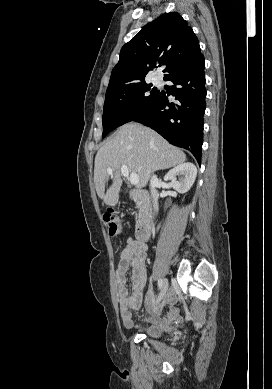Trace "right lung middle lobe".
I'll use <instances>...</instances> for the list:
<instances>
[{"label":"right lung middle lobe","instance_id":"1","mask_svg":"<svg viewBox=\"0 0 272 389\" xmlns=\"http://www.w3.org/2000/svg\"><path fill=\"white\" fill-rule=\"evenodd\" d=\"M160 91L145 81L106 92L103 110V134L127 122L149 107L159 96Z\"/></svg>","mask_w":272,"mask_h":389}]
</instances>
